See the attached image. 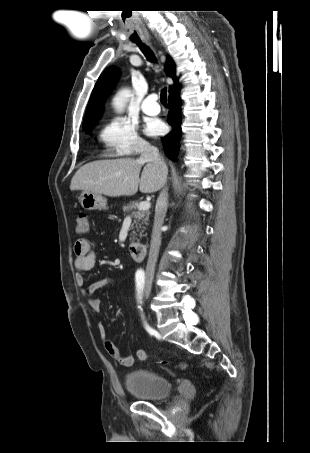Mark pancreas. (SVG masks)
I'll return each mask as SVG.
<instances>
[{"label": "pancreas", "mask_w": 310, "mask_h": 453, "mask_svg": "<svg viewBox=\"0 0 310 453\" xmlns=\"http://www.w3.org/2000/svg\"><path fill=\"white\" fill-rule=\"evenodd\" d=\"M138 207L137 202H131L128 205L123 206V212L129 213L132 212V217H133V225L132 229L136 228V231H132L131 233V238L130 239H135V236L137 235L136 232H139V236L142 237V233L145 231L146 227H144V224L147 225L148 220H149V212L148 211H141L138 210L136 211V208Z\"/></svg>", "instance_id": "1"}]
</instances>
